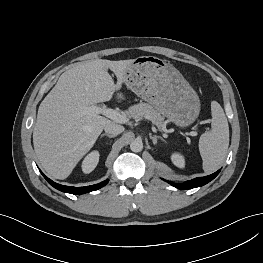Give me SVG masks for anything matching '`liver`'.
I'll use <instances>...</instances> for the list:
<instances>
[{"mask_svg":"<svg viewBox=\"0 0 263 263\" xmlns=\"http://www.w3.org/2000/svg\"><path fill=\"white\" fill-rule=\"evenodd\" d=\"M132 62L96 59L79 63L59 77L41 102L33 144L42 167L53 178H67L104 127L113 123L99 114H84L83 109L111 100ZM108 69L116 75V84Z\"/></svg>","mask_w":263,"mask_h":263,"instance_id":"1","label":"liver"}]
</instances>
